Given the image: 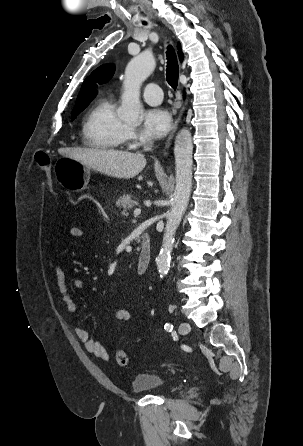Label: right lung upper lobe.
<instances>
[{"instance_id": "cb5924a9", "label": "right lung upper lobe", "mask_w": 303, "mask_h": 446, "mask_svg": "<svg viewBox=\"0 0 303 446\" xmlns=\"http://www.w3.org/2000/svg\"><path fill=\"white\" fill-rule=\"evenodd\" d=\"M178 48L179 58L182 60L183 53L180 50V44L178 45ZM114 71L115 67L112 64L102 65L94 70L90 77L86 78L83 82L74 108L89 104L97 94V85L109 81L112 78Z\"/></svg>"}]
</instances>
